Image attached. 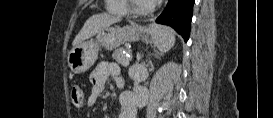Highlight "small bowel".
Masks as SVG:
<instances>
[{
  "label": "small bowel",
  "mask_w": 273,
  "mask_h": 118,
  "mask_svg": "<svg viewBox=\"0 0 273 118\" xmlns=\"http://www.w3.org/2000/svg\"><path fill=\"white\" fill-rule=\"evenodd\" d=\"M109 79L121 82L120 69L108 62H101L90 75L92 89L86 101L88 107L96 105ZM120 101L123 108L119 118H135L137 115L135 97L133 95H123Z\"/></svg>",
  "instance_id": "small-bowel-1"
}]
</instances>
